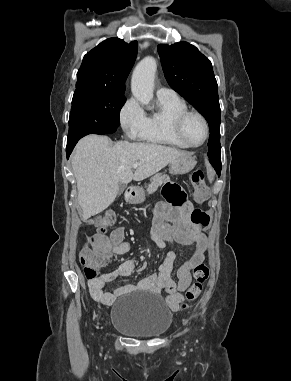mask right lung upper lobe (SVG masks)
I'll list each match as a JSON object with an SVG mask.
<instances>
[{"instance_id":"obj_1","label":"right lung upper lobe","mask_w":291,"mask_h":381,"mask_svg":"<svg viewBox=\"0 0 291 381\" xmlns=\"http://www.w3.org/2000/svg\"><path fill=\"white\" fill-rule=\"evenodd\" d=\"M137 41L109 38L88 52L77 73L76 89H104L124 93L137 56Z\"/></svg>"}]
</instances>
